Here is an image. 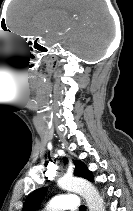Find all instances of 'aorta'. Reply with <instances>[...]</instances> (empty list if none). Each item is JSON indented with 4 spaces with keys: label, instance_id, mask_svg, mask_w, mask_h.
Returning a JSON list of instances; mask_svg holds the SVG:
<instances>
[{
    "label": "aorta",
    "instance_id": "obj_1",
    "mask_svg": "<svg viewBox=\"0 0 133 211\" xmlns=\"http://www.w3.org/2000/svg\"><path fill=\"white\" fill-rule=\"evenodd\" d=\"M57 184L63 190L80 194L86 200L89 211H105L102 197L89 181L79 177L64 176Z\"/></svg>",
    "mask_w": 133,
    "mask_h": 211
}]
</instances>
